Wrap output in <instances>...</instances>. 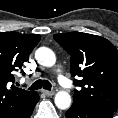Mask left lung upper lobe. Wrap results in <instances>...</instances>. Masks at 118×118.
<instances>
[{"label": "left lung upper lobe", "instance_id": "obj_1", "mask_svg": "<svg viewBox=\"0 0 118 118\" xmlns=\"http://www.w3.org/2000/svg\"><path fill=\"white\" fill-rule=\"evenodd\" d=\"M53 38L71 55L74 102L115 111L118 108V51L107 39L81 32L55 34Z\"/></svg>", "mask_w": 118, "mask_h": 118}]
</instances>
